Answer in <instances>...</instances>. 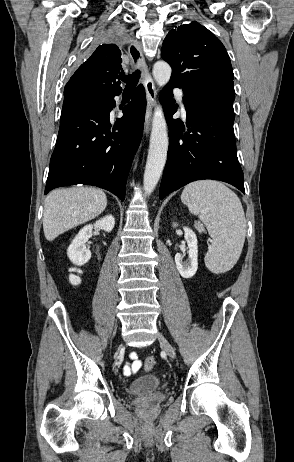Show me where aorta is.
<instances>
[{
	"label": "aorta",
	"mask_w": 294,
	"mask_h": 462,
	"mask_svg": "<svg viewBox=\"0 0 294 462\" xmlns=\"http://www.w3.org/2000/svg\"><path fill=\"white\" fill-rule=\"evenodd\" d=\"M171 67L164 61H158L153 67V76L156 83L163 87L171 77ZM167 124L163 109L158 104L154 111L148 157L144 172L143 188L146 195L155 189L162 175L168 151Z\"/></svg>",
	"instance_id": "aorta-1"
}]
</instances>
